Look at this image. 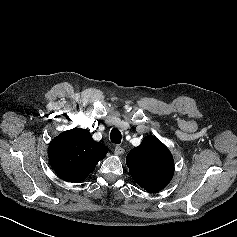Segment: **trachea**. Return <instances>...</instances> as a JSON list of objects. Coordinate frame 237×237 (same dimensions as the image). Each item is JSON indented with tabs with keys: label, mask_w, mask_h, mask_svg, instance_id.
<instances>
[{
	"label": "trachea",
	"mask_w": 237,
	"mask_h": 237,
	"mask_svg": "<svg viewBox=\"0 0 237 237\" xmlns=\"http://www.w3.org/2000/svg\"><path fill=\"white\" fill-rule=\"evenodd\" d=\"M110 138L112 143L120 144L122 138L121 132L117 128L112 129Z\"/></svg>",
	"instance_id": "obj_1"
}]
</instances>
